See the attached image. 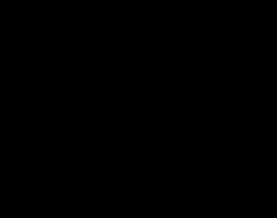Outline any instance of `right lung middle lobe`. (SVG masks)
Listing matches in <instances>:
<instances>
[{
  "label": "right lung middle lobe",
  "instance_id": "right-lung-middle-lobe-1",
  "mask_svg": "<svg viewBox=\"0 0 277 218\" xmlns=\"http://www.w3.org/2000/svg\"><path fill=\"white\" fill-rule=\"evenodd\" d=\"M72 95L75 96V93L74 94L72 93ZM89 139H90V137L82 138L81 140L70 139V143L74 146L80 147V146L84 145Z\"/></svg>",
  "mask_w": 277,
  "mask_h": 218
}]
</instances>
